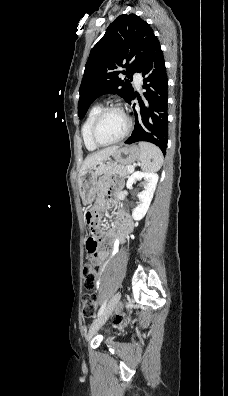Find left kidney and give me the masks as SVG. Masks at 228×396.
<instances>
[{
    "instance_id": "left-kidney-1",
    "label": "left kidney",
    "mask_w": 228,
    "mask_h": 396,
    "mask_svg": "<svg viewBox=\"0 0 228 396\" xmlns=\"http://www.w3.org/2000/svg\"><path fill=\"white\" fill-rule=\"evenodd\" d=\"M144 179V189L138 193L139 203L133 209L132 217L134 220H141L147 213L150 203L153 198L154 191L158 182V175L151 172H134L127 180V188H132V185L137 180Z\"/></svg>"
}]
</instances>
